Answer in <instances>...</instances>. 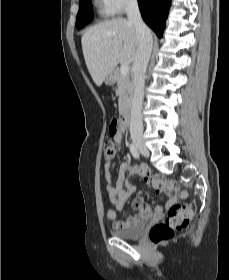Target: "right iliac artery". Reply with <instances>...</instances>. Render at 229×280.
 Instances as JSON below:
<instances>
[{
  "mask_svg": "<svg viewBox=\"0 0 229 280\" xmlns=\"http://www.w3.org/2000/svg\"><path fill=\"white\" fill-rule=\"evenodd\" d=\"M130 152L134 158L139 159V152L133 144H130Z\"/></svg>",
  "mask_w": 229,
  "mask_h": 280,
  "instance_id": "right-iliac-artery-1",
  "label": "right iliac artery"
}]
</instances>
